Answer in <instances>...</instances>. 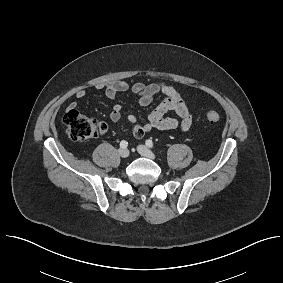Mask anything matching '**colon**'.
<instances>
[{"label": "colon", "instance_id": "1", "mask_svg": "<svg viewBox=\"0 0 283 283\" xmlns=\"http://www.w3.org/2000/svg\"><path fill=\"white\" fill-rule=\"evenodd\" d=\"M206 120L212 124L217 123L220 120V115L216 111H208ZM64 124L70 137L75 141L97 137L106 130V124L85 116L74 109L67 112L64 117Z\"/></svg>", "mask_w": 283, "mask_h": 283}]
</instances>
